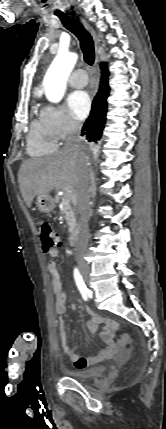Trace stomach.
<instances>
[{
	"label": "stomach",
	"instance_id": "0dacf381",
	"mask_svg": "<svg viewBox=\"0 0 166 429\" xmlns=\"http://www.w3.org/2000/svg\"><path fill=\"white\" fill-rule=\"evenodd\" d=\"M36 205L38 210L43 213H50L55 208L54 200L49 194L38 195Z\"/></svg>",
	"mask_w": 166,
	"mask_h": 429
}]
</instances>
